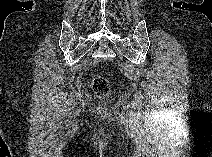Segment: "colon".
<instances>
[{"label": "colon", "mask_w": 212, "mask_h": 157, "mask_svg": "<svg viewBox=\"0 0 212 157\" xmlns=\"http://www.w3.org/2000/svg\"><path fill=\"white\" fill-rule=\"evenodd\" d=\"M91 88L99 96H105L110 91L108 81L102 76H97L92 80Z\"/></svg>", "instance_id": "5ec220e1"}]
</instances>
